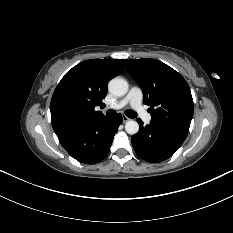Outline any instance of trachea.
Segmentation results:
<instances>
[{
  "mask_svg": "<svg viewBox=\"0 0 233 233\" xmlns=\"http://www.w3.org/2000/svg\"><path fill=\"white\" fill-rule=\"evenodd\" d=\"M115 114H116V111H114V110H108V111L106 112V115H107V116H114ZM125 114H126V116L129 117V118H135V117L137 116L136 112L133 111V110H131V109L126 110V111H125Z\"/></svg>",
  "mask_w": 233,
  "mask_h": 233,
  "instance_id": "obj_1",
  "label": "trachea"
}]
</instances>
